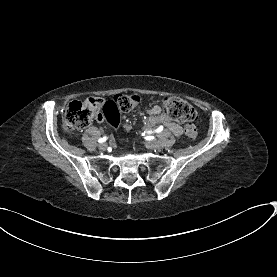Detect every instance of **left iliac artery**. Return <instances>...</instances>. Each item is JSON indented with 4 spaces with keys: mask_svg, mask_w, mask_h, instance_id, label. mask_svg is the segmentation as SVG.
I'll return each mask as SVG.
<instances>
[{
    "mask_svg": "<svg viewBox=\"0 0 277 277\" xmlns=\"http://www.w3.org/2000/svg\"><path fill=\"white\" fill-rule=\"evenodd\" d=\"M162 130H163V126H159V127L155 130V132H156V133H160ZM148 133L151 134L152 131H148ZM143 135H145V133H143ZM146 139H149V137H146ZM149 140H150V139H149Z\"/></svg>",
    "mask_w": 277,
    "mask_h": 277,
    "instance_id": "obj_1",
    "label": "left iliac artery"
}]
</instances>
